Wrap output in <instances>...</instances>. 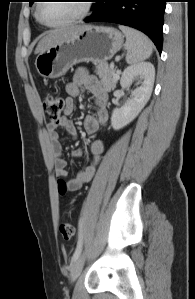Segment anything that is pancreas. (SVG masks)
Listing matches in <instances>:
<instances>
[{
  "label": "pancreas",
  "instance_id": "pancreas-1",
  "mask_svg": "<svg viewBox=\"0 0 195 299\" xmlns=\"http://www.w3.org/2000/svg\"><path fill=\"white\" fill-rule=\"evenodd\" d=\"M96 74L100 77L102 85L107 91L115 88L119 78H115V69L110 67L107 62L96 65Z\"/></svg>",
  "mask_w": 195,
  "mask_h": 299
}]
</instances>
